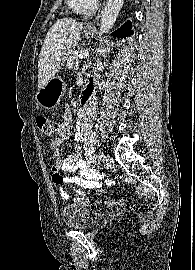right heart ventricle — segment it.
I'll return each instance as SVG.
<instances>
[{
    "label": "right heart ventricle",
    "mask_w": 195,
    "mask_h": 270,
    "mask_svg": "<svg viewBox=\"0 0 195 270\" xmlns=\"http://www.w3.org/2000/svg\"><path fill=\"white\" fill-rule=\"evenodd\" d=\"M70 9L80 15L91 13L96 7V0H68Z\"/></svg>",
    "instance_id": "obj_1"
}]
</instances>
